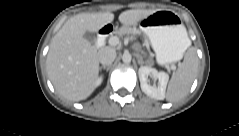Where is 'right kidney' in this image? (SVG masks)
Instances as JSON below:
<instances>
[{"mask_svg":"<svg viewBox=\"0 0 239 136\" xmlns=\"http://www.w3.org/2000/svg\"><path fill=\"white\" fill-rule=\"evenodd\" d=\"M102 80H103L102 77L98 78L97 81H96V86L100 85Z\"/></svg>","mask_w":239,"mask_h":136,"instance_id":"obj_1","label":"right kidney"}]
</instances>
